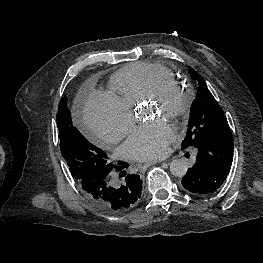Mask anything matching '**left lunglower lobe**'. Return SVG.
Returning <instances> with one entry per match:
<instances>
[{
  "label": "left lung lower lobe",
  "instance_id": "left-lung-lower-lobe-1",
  "mask_svg": "<svg viewBox=\"0 0 263 263\" xmlns=\"http://www.w3.org/2000/svg\"><path fill=\"white\" fill-rule=\"evenodd\" d=\"M198 148L196 163L182 179L183 187L195 195H208L223 184L233 160L231 131L210 136Z\"/></svg>",
  "mask_w": 263,
  "mask_h": 263
}]
</instances>
